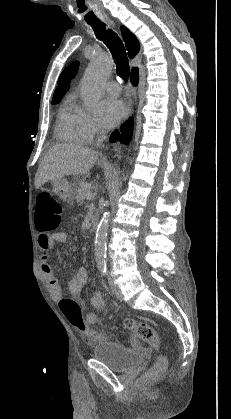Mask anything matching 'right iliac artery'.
Listing matches in <instances>:
<instances>
[{
  "label": "right iliac artery",
  "instance_id": "right-iliac-artery-1",
  "mask_svg": "<svg viewBox=\"0 0 231 419\" xmlns=\"http://www.w3.org/2000/svg\"><path fill=\"white\" fill-rule=\"evenodd\" d=\"M98 268H99L102 275H106V265L101 264V265L98 266Z\"/></svg>",
  "mask_w": 231,
  "mask_h": 419
}]
</instances>
